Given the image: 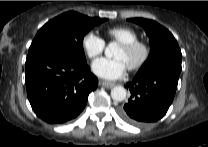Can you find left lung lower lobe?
<instances>
[{
  "instance_id": "left-lung-lower-lobe-1",
  "label": "left lung lower lobe",
  "mask_w": 208,
  "mask_h": 147,
  "mask_svg": "<svg viewBox=\"0 0 208 147\" xmlns=\"http://www.w3.org/2000/svg\"><path fill=\"white\" fill-rule=\"evenodd\" d=\"M180 72L161 67L136 75L127 83L131 96L119 109L120 117L129 124L144 126L161 119L169 109Z\"/></svg>"
}]
</instances>
